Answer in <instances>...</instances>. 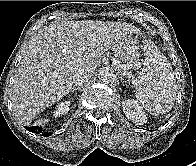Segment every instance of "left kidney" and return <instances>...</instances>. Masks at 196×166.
<instances>
[{"label": "left kidney", "mask_w": 196, "mask_h": 166, "mask_svg": "<svg viewBox=\"0 0 196 166\" xmlns=\"http://www.w3.org/2000/svg\"><path fill=\"white\" fill-rule=\"evenodd\" d=\"M125 116L136 125H143L147 122V117L136 100H125L122 102Z\"/></svg>", "instance_id": "left-kidney-1"}]
</instances>
